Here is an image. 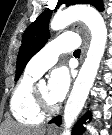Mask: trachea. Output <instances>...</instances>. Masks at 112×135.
Masks as SVG:
<instances>
[{
  "mask_svg": "<svg viewBox=\"0 0 112 135\" xmlns=\"http://www.w3.org/2000/svg\"><path fill=\"white\" fill-rule=\"evenodd\" d=\"M74 54H80V49L75 50Z\"/></svg>",
  "mask_w": 112,
  "mask_h": 135,
  "instance_id": "trachea-1",
  "label": "trachea"
}]
</instances>
